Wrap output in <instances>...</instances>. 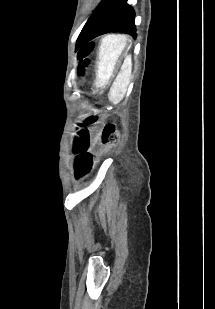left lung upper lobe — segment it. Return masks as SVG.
I'll return each mask as SVG.
<instances>
[{
    "label": "left lung upper lobe",
    "mask_w": 215,
    "mask_h": 309,
    "mask_svg": "<svg viewBox=\"0 0 215 309\" xmlns=\"http://www.w3.org/2000/svg\"><path fill=\"white\" fill-rule=\"evenodd\" d=\"M134 17V10L126 0H108L91 15L78 37L77 44L87 43L109 32H123L136 37Z\"/></svg>",
    "instance_id": "5c2ea615"
}]
</instances>
